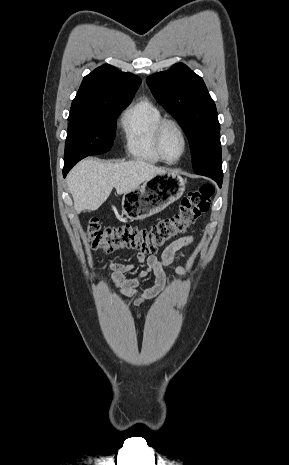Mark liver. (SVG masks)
<instances>
[{
	"instance_id": "obj_1",
	"label": "liver",
	"mask_w": 289,
	"mask_h": 465,
	"mask_svg": "<svg viewBox=\"0 0 289 465\" xmlns=\"http://www.w3.org/2000/svg\"><path fill=\"white\" fill-rule=\"evenodd\" d=\"M168 172L142 160L106 163L85 159L68 174L67 185L77 213L97 210L109 197L113 188L117 194L128 193L152 177Z\"/></svg>"
}]
</instances>
